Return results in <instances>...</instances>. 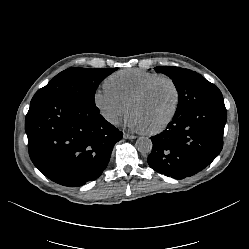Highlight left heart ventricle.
Here are the masks:
<instances>
[{
  "label": "left heart ventricle",
  "instance_id": "b2bd125f",
  "mask_svg": "<svg viewBox=\"0 0 249 249\" xmlns=\"http://www.w3.org/2000/svg\"><path fill=\"white\" fill-rule=\"evenodd\" d=\"M174 105V89L170 83L164 81L156 84L129 108L139 114L147 130H150L160 125L171 114Z\"/></svg>",
  "mask_w": 249,
  "mask_h": 249
}]
</instances>
